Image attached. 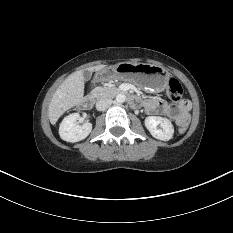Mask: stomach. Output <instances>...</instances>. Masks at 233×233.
<instances>
[{"mask_svg": "<svg viewBox=\"0 0 233 233\" xmlns=\"http://www.w3.org/2000/svg\"><path fill=\"white\" fill-rule=\"evenodd\" d=\"M115 79L133 82L137 86L153 92L164 90L170 74L163 67L149 63L122 62L105 67L94 76L96 83L109 82Z\"/></svg>", "mask_w": 233, "mask_h": 233, "instance_id": "0dacf381", "label": "stomach"}]
</instances>
